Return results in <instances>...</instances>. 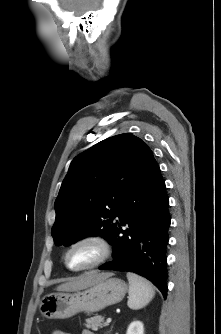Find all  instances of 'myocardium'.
<instances>
[{
  "label": "myocardium",
  "mask_w": 221,
  "mask_h": 334,
  "mask_svg": "<svg viewBox=\"0 0 221 334\" xmlns=\"http://www.w3.org/2000/svg\"><path fill=\"white\" fill-rule=\"evenodd\" d=\"M83 244L95 245L99 251L98 257L88 265L81 267H72L69 264V255L74 248ZM111 252H112L111 244L104 236L100 234L89 233L78 237L69 244L64 254V263L65 266L71 271L79 272V271L91 270L102 265L109 258Z\"/></svg>",
  "instance_id": "obj_1"
}]
</instances>
